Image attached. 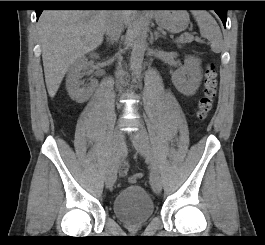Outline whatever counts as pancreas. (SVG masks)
Returning <instances> with one entry per match:
<instances>
[{
	"label": "pancreas",
	"instance_id": "obj_1",
	"mask_svg": "<svg viewBox=\"0 0 265 245\" xmlns=\"http://www.w3.org/2000/svg\"><path fill=\"white\" fill-rule=\"evenodd\" d=\"M194 38H183L181 40H178V42L180 43H189V42H192Z\"/></svg>",
	"mask_w": 265,
	"mask_h": 245
}]
</instances>
